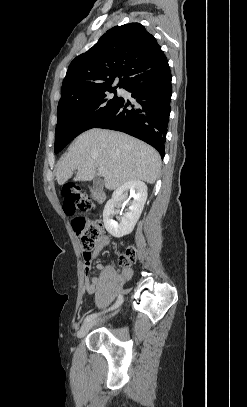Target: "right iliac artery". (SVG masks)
Instances as JSON below:
<instances>
[{
  "label": "right iliac artery",
  "instance_id": "1",
  "mask_svg": "<svg viewBox=\"0 0 247 407\" xmlns=\"http://www.w3.org/2000/svg\"><path fill=\"white\" fill-rule=\"evenodd\" d=\"M122 302H123V296L119 295L116 303L113 306H111L109 308V310H113V309L117 308L119 305L122 304ZM97 315H98L97 313H94V314H91V315L87 316L85 318L84 322L86 323V322L92 321L94 318L97 317Z\"/></svg>",
  "mask_w": 247,
  "mask_h": 407
}]
</instances>
